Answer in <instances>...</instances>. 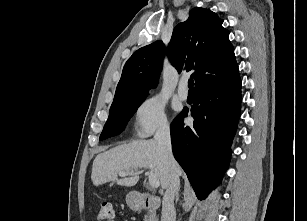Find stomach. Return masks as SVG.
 Here are the masks:
<instances>
[{"mask_svg":"<svg viewBox=\"0 0 307 221\" xmlns=\"http://www.w3.org/2000/svg\"><path fill=\"white\" fill-rule=\"evenodd\" d=\"M127 203L130 207H136L138 205L137 203L131 201L130 197L127 198Z\"/></svg>","mask_w":307,"mask_h":221,"instance_id":"stomach-1","label":"stomach"}]
</instances>
